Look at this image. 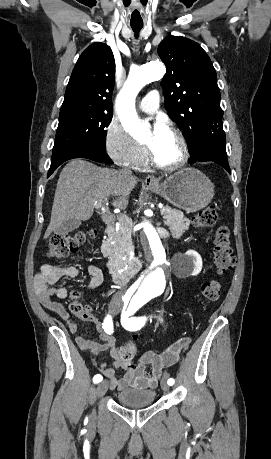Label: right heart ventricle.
I'll use <instances>...</instances> for the list:
<instances>
[{
	"label": "right heart ventricle",
	"mask_w": 271,
	"mask_h": 459,
	"mask_svg": "<svg viewBox=\"0 0 271 459\" xmlns=\"http://www.w3.org/2000/svg\"><path fill=\"white\" fill-rule=\"evenodd\" d=\"M146 165V161L145 160H142L141 162H139L136 167L137 168H143L144 166Z\"/></svg>",
	"instance_id": "1"
}]
</instances>
